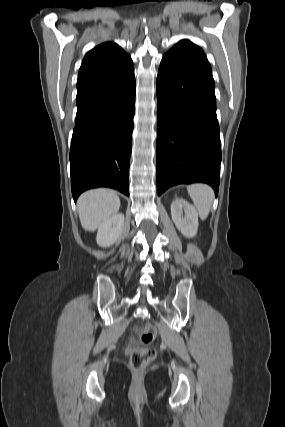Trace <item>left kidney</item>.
Here are the masks:
<instances>
[{
  "label": "left kidney",
  "instance_id": "1",
  "mask_svg": "<svg viewBox=\"0 0 285 427\" xmlns=\"http://www.w3.org/2000/svg\"><path fill=\"white\" fill-rule=\"evenodd\" d=\"M171 216L183 236L187 238L196 236L199 225L198 213L186 200L179 198L172 202Z\"/></svg>",
  "mask_w": 285,
  "mask_h": 427
}]
</instances>
